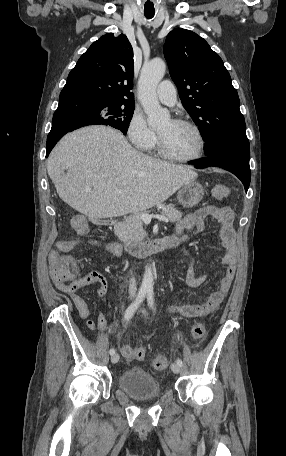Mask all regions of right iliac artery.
Instances as JSON below:
<instances>
[{"mask_svg":"<svg viewBox=\"0 0 286 456\" xmlns=\"http://www.w3.org/2000/svg\"><path fill=\"white\" fill-rule=\"evenodd\" d=\"M146 293H147L146 290H139L135 301L133 303H131L129 305V307L126 309V311H125V315H124L125 321H128L129 319H131L133 317V315L136 312L137 308L139 307V305L145 299ZM109 353H110V355H114L115 354V349L111 348Z\"/></svg>","mask_w":286,"mask_h":456,"instance_id":"1","label":"right iliac artery"}]
</instances>
